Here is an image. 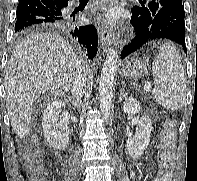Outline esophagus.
<instances>
[{"label":"esophagus","mask_w":197,"mask_h":181,"mask_svg":"<svg viewBox=\"0 0 197 181\" xmlns=\"http://www.w3.org/2000/svg\"><path fill=\"white\" fill-rule=\"evenodd\" d=\"M113 37L107 28H101L100 30V43L102 46V49L104 51H108L110 49V46L113 44Z\"/></svg>","instance_id":"1"}]
</instances>
